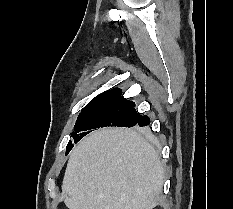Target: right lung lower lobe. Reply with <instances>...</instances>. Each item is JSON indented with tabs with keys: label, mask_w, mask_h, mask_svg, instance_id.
<instances>
[{
	"label": "right lung lower lobe",
	"mask_w": 233,
	"mask_h": 209,
	"mask_svg": "<svg viewBox=\"0 0 233 209\" xmlns=\"http://www.w3.org/2000/svg\"><path fill=\"white\" fill-rule=\"evenodd\" d=\"M150 123V120L147 116H141L140 119L137 122V125L140 127L146 126ZM121 127H126V126H121Z\"/></svg>",
	"instance_id": "obj_1"
}]
</instances>
